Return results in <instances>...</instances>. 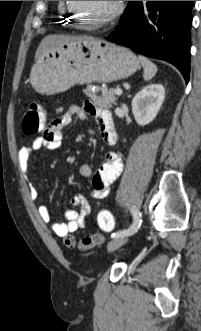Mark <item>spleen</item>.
<instances>
[{
	"instance_id": "spleen-1",
	"label": "spleen",
	"mask_w": 201,
	"mask_h": 331,
	"mask_svg": "<svg viewBox=\"0 0 201 331\" xmlns=\"http://www.w3.org/2000/svg\"><path fill=\"white\" fill-rule=\"evenodd\" d=\"M139 60L144 68V73H143L144 80L146 81L151 80L157 73L158 70L157 66L145 56L139 55Z\"/></svg>"
}]
</instances>
